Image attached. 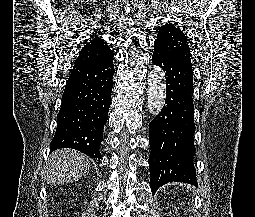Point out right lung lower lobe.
<instances>
[{"label":"right lung lower lobe","instance_id":"98d812e1","mask_svg":"<svg viewBox=\"0 0 255 217\" xmlns=\"http://www.w3.org/2000/svg\"><path fill=\"white\" fill-rule=\"evenodd\" d=\"M113 59L102 64L73 66L62 95L51 151L72 148L94 159L111 104Z\"/></svg>","mask_w":255,"mask_h":217}]
</instances>
